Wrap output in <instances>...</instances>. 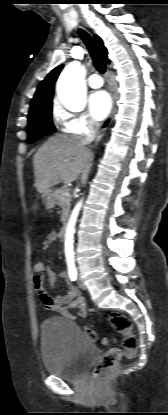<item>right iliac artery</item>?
<instances>
[{
  "instance_id": "82829eb1",
  "label": "right iliac artery",
  "mask_w": 168,
  "mask_h": 415,
  "mask_svg": "<svg viewBox=\"0 0 168 415\" xmlns=\"http://www.w3.org/2000/svg\"><path fill=\"white\" fill-rule=\"evenodd\" d=\"M68 274L71 281H75L77 278V271L75 267H69L68 268Z\"/></svg>"
}]
</instances>
